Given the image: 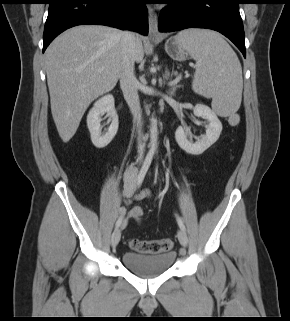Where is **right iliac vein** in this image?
<instances>
[{"instance_id":"obj_1","label":"right iliac vein","mask_w":290,"mask_h":321,"mask_svg":"<svg viewBox=\"0 0 290 321\" xmlns=\"http://www.w3.org/2000/svg\"><path fill=\"white\" fill-rule=\"evenodd\" d=\"M126 225V222H123L122 227ZM121 228H117L113 234H112V238H111V245L112 247H116L120 241L121 238Z\"/></svg>"}]
</instances>
